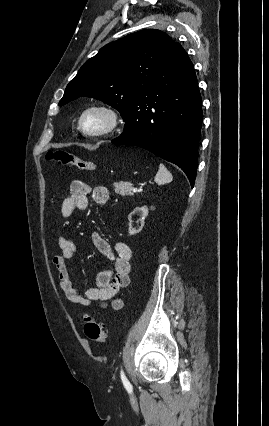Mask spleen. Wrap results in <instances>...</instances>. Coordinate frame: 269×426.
Here are the masks:
<instances>
[{
	"label": "spleen",
	"mask_w": 269,
	"mask_h": 426,
	"mask_svg": "<svg viewBox=\"0 0 269 426\" xmlns=\"http://www.w3.org/2000/svg\"><path fill=\"white\" fill-rule=\"evenodd\" d=\"M173 179L171 173L166 169V167L163 164L159 165L158 172L155 176V182L158 185L166 184L171 182Z\"/></svg>",
	"instance_id": "1"
}]
</instances>
